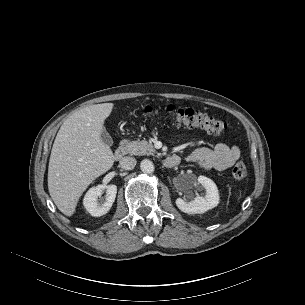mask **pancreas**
<instances>
[{
	"label": "pancreas",
	"instance_id": "1",
	"mask_svg": "<svg viewBox=\"0 0 305 305\" xmlns=\"http://www.w3.org/2000/svg\"><path fill=\"white\" fill-rule=\"evenodd\" d=\"M127 153L136 156L154 155L155 149L152 144L146 140L130 141L126 145Z\"/></svg>",
	"mask_w": 305,
	"mask_h": 305
}]
</instances>
